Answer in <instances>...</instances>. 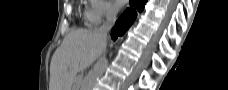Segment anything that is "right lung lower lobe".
Masks as SVG:
<instances>
[{"label":"right lung lower lobe","instance_id":"98d812e1","mask_svg":"<svg viewBox=\"0 0 228 90\" xmlns=\"http://www.w3.org/2000/svg\"><path fill=\"white\" fill-rule=\"evenodd\" d=\"M147 0H129L131 6H134L137 11L142 12ZM137 16L136 10L127 8L119 20L115 24V28L112 29L111 37L113 40L117 39V36H122L128 28L135 21Z\"/></svg>","mask_w":228,"mask_h":90}]
</instances>
